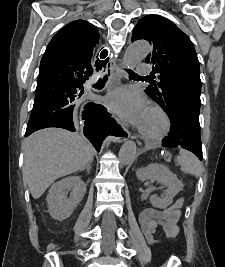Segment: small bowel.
<instances>
[{"label":"small bowel","instance_id":"obj_1","mask_svg":"<svg viewBox=\"0 0 225 267\" xmlns=\"http://www.w3.org/2000/svg\"><path fill=\"white\" fill-rule=\"evenodd\" d=\"M180 198L175 204L163 210L155 208H147L141 215L140 224L147 241L151 244L155 243L154 236L160 230L166 238H174L179 227L177 225L180 216L179 203Z\"/></svg>","mask_w":225,"mask_h":267}]
</instances>
